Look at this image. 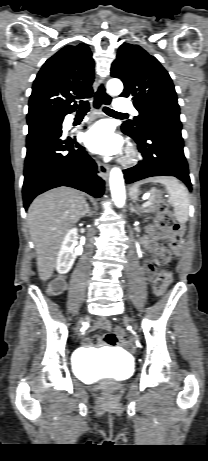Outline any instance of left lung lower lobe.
I'll return each instance as SVG.
<instances>
[{
  "instance_id": "obj_1",
  "label": "left lung lower lobe",
  "mask_w": 208,
  "mask_h": 461,
  "mask_svg": "<svg viewBox=\"0 0 208 461\" xmlns=\"http://www.w3.org/2000/svg\"><path fill=\"white\" fill-rule=\"evenodd\" d=\"M182 125L175 119H158L138 134H127L136 141L142 159L124 170L126 183L154 176H174L192 189L189 170L183 152Z\"/></svg>"
}]
</instances>
